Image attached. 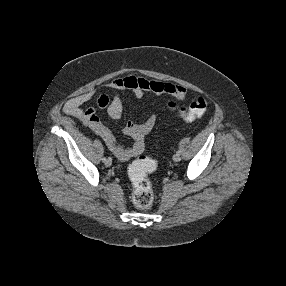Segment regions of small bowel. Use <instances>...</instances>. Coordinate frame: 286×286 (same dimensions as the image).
I'll list each match as a JSON object with an SVG mask.
<instances>
[{
	"mask_svg": "<svg viewBox=\"0 0 286 286\" xmlns=\"http://www.w3.org/2000/svg\"><path fill=\"white\" fill-rule=\"evenodd\" d=\"M105 86L115 91L116 94L112 98L101 95L98 98V104L105 108L109 117L114 120L121 118L123 113V103L117 94L118 92L131 91L137 99H141L145 94L167 95L179 102L187 98V89L184 86L172 82L150 80L132 74L115 77L108 81ZM93 95L94 91L91 90L71 99L64 107L65 113L79 119L93 133L100 136L105 141L109 151L118 159L128 161L140 155L145 149L146 136L154 128L157 116L152 114L140 124L128 122L123 132L132 139L133 143L130 146H124L117 142L113 133L100 121L92 108L83 107L92 99Z\"/></svg>",
	"mask_w": 286,
	"mask_h": 286,
	"instance_id": "c3829d8e",
	"label": "small bowel"
}]
</instances>
